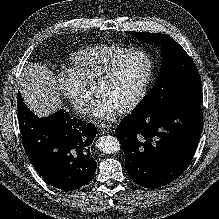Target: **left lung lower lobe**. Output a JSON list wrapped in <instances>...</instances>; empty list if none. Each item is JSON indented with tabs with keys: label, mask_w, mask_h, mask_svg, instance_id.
<instances>
[{
	"label": "left lung lower lobe",
	"mask_w": 219,
	"mask_h": 219,
	"mask_svg": "<svg viewBox=\"0 0 219 219\" xmlns=\"http://www.w3.org/2000/svg\"><path fill=\"white\" fill-rule=\"evenodd\" d=\"M202 127L201 98L155 113L128 115L115 135L121 142L130 178L152 189L174 181L190 164Z\"/></svg>",
	"instance_id": "left-lung-lower-lobe-1"
}]
</instances>
